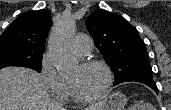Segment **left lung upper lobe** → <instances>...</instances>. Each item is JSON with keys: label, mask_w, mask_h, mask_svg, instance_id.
<instances>
[{"label": "left lung upper lobe", "mask_w": 171, "mask_h": 110, "mask_svg": "<svg viewBox=\"0 0 171 110\" xmlns=\"http://www.w3.org/2000/svg\"><path fill=\"white\" fill-rule=\"evenodd\" d=\"M86 27L114 73V85L154 82L145 44L123 17L98 9L87 18Z\"/></svg>", "instance_id": "obj_1"}]
</instances>
